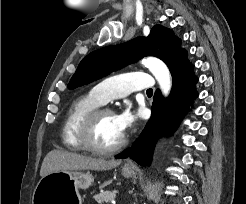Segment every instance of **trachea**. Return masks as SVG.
<instances>
[{
    "label": "trachea",
    "instance_id": "obj_1",
    "mask_svg": "<svg viewBox=\"0 0 246 204\" xmlns=\"http://www.w3.org/2000/svg\"><path fill=\"white\" fill-rule=\"evenodd\" d=\"M146 93L147 94H152L153 93V90L152 89H148Z\"/></svg>",
    "mask_w": 246,
    "mask_h": 204
}]
</instances>
